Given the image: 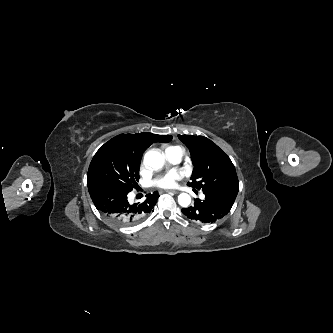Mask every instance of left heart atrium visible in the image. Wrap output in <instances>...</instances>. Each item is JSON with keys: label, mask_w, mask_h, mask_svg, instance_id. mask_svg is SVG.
I'll list each match as a JSON object with an SVG mask.
<instances>
[{"label": "left heart atrium", "mask_w": 333, "mask_h": 333, "mask_svg": "<svg viewBox=\"0 0 333 333\" xmlns=\"http://www.w3.org/2000/svg\"><path fill=\"white\" fill-rule=\"evenodd\" d=\"M179 175L176 172L168 173L154 180L153 184L157 188L169 189L176 185Z\"/></svg>", "instance_id": "left-heart-atrium-1"}]
</instances>
